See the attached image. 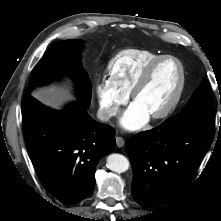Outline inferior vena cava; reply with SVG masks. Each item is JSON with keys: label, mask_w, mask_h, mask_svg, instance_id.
Instances as JSON below:
<instances>
[{"label": "inferior vena cava", "mask_w": 221, "mask_h": 221, "mask_svg": "<svg viewBox=\"0 0 221 221\" xmlns=\"http://www.w3.org/2000/svg\"><path fill=\"white\" fill-rule=\"evenodd\" d=\"M117 113V109L115 107L112 108H100L97 111V118L101 121H108L112 116H115Z\"/></svg>", "instance_id": "1"}]
</instances>
